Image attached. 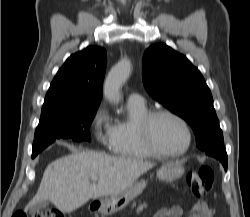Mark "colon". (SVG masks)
I'll return each instance as SVG.
<instances>
[{
	"label": "colon",
	"instance_id": "5ec220e1",
	"mask_svg": "<svg viewBox=\"0 0 250 217\" xmlns=\"http://www.w3.org/2000/svg\"><path fill=\"white\" fill-rule=\"evenodd\" d=\"M214 181V172L209 166H202L198 170L191 171L187 175V183L192 192L200 197L212 188ZM196 213L210 217L212 209L206 205L205 202L199 200L194 205ZM13 217H28L24 211H17ZM32 217H65V215L58 209H49L44 212L36 213Z\"/></svg>",
	"mask_w": 250,
	"mask_h": 217
}]
</instances>
